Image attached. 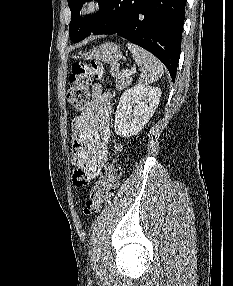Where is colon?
<instances>
[{"label":"colon","mask_w":233,"mask_h":286,"mask_svg":"<svg viewBox=\"0 0 233 286\" xmlns=\"http://www.w3.org/2000/svg\"><path fill=\"white\" fill-rule=\"evenodd\" d=\"M105 72L102 64L97 61L90 63H73L69 76L70 88L67 92V100L75 111L83 110L89 101V85L91 79H104ZM118 150L119 146L115 145ZM120 177L118 160L113 158L103 168L99 180L94 185L90 198L84 206V214L91 216L97 214L110 201Z\"/></svg>","instance_id":"1"}]
</instances>
